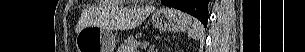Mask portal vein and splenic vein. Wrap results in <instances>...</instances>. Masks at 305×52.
<instances>
[{
	"instance_id": "portal-vein-and-splenic-vein-1",
	"label": "portal vein and splenic vein",
	"mask_w": 305,
	"mask_h": 52,
	"mask_svg": "<svg viewBox=\"0 0 305 52\" xmlns=\"http://www.w3.org/2000/svg\"><path fill=\"white\" fill-rule=\"evenodd\" d=\"M148 45H149L148 42L143 43V46H144V47H145V46H148Z\"/></svg>"
}]
</instances>
